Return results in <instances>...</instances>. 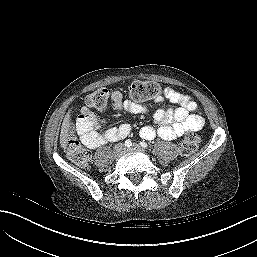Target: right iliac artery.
Wrapping results in <instances>:
<instances>
[{
	"mask_svg": "<svg viewBox=\"0 0 257 257\" xmlns=\"http://www.w3.org/2000/svg\"><path fill=\"white\" fill-rule=\"evenodd\" d=\"M131 145H132V141L131 140L128 139V140L125 141V146L126 147H130Z\"/></svg>",
	"mask_w": 257,
	"mask_h": 257,
	"instance_id": "82829eb1",
	"label": "right iliac artery"
}]
</instances>
